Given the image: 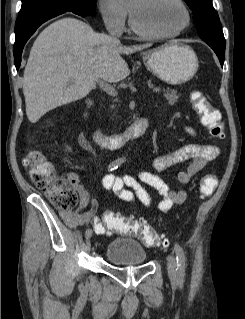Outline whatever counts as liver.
<instances>
[{
    "mask_svg": "<svg viewBox=\"0 0 245 319\" xmlns=\"http://www.w3.org/2000/svg\"><path fill=\"white\" fill-rule=\"evenodd\" d=\"M151 44L123 46L72 17L59 19L36 38L24 71L26 114L36 123L48 111L85 97L97 81L114 83L130 70L121 54Z\"/></svg>",
    "mask_w": 245,
    "mask_h": 319,
    "instance_id": "liver-1",
    "label": "liver"
}]
</instances>
